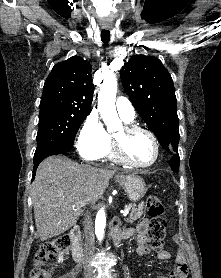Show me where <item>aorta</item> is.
<instances>
[{"label": "aorta", "mask_w": 221, "mask_h": 278, "mask_svg": "<svg viewBox=\"0 0 221 278\" xmlns=\"http://www.w3.org/2000/svg\"><path fill=\"white\" fill-rule=\"evenodd\" d=\"M117 93V79L114 75L104 78L98 94V109L101 117L106 125L110 126L111 120H118V115L115 107V98ZM106 225V214L104 209L97 212L95 219V234L99 241L104 237V229Z\"/></svg>", "instance_id": "aorta-1"}]
</instances>
